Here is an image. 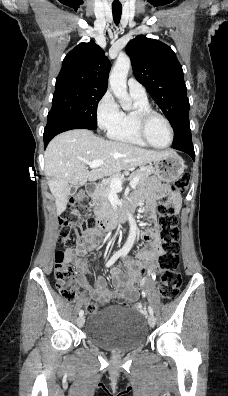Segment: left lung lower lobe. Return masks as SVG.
I'll return each mask as SVG.
<instances>
[{
    "instance_id": "obj_1",
    "label": "left lung lower lobe",
    "mask_w": 228,
    "mask_h": 396,
    "mask_svg": "<svg viewBox=\"0 0 228 396\" xmlns=\"http://www.w3.org/2000/svg\"><path fill=\"white\" fill-rule=\"evenodd\" d=\"M172 147L174 149L186 152L192 159H195L194 148L191 139V130L189 126V118H186L183 124L176 129Z\"/></svg>"
}]
</instances>
